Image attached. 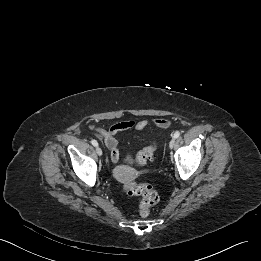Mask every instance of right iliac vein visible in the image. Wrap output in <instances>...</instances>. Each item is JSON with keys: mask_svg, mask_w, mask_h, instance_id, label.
I'll return each instance as SVG.
<instances>
[{"mask_svg": "<svg viewBox=\"0 0 261 261\" xmlns=\"http://www.w3.org/2000/svg\"><path fill=\"white\" fill-rule=\"evenodd\" d=\"M96 152L99 156H102V149L100 147L97 146Z\"/></svg>", "mask_w": 261, "mask_h": 261, "instance_id": "63e3f726", "label": "right iliac vein"}]
</instances>
